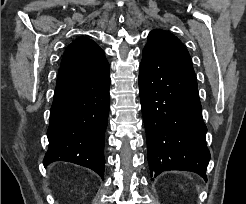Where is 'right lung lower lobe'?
Segmentation results:
<instances>
[{
  "label": "right lung lower lobe",
  "instance_id": "98d812e1",
  "mask_svg": "<svg viewBox=\"0 0 246 204\" xmlns=\"http://www.w3.org/2000/svg\"><path fill=\"white\" fill-rule=\"evenodd\" d=\"M109 88V64L59 69L44 166L68 161L88 167L103 178Z\"/></svg>",
  "mask_w": 246,
  "mask_h": 204
}]
</instances>
